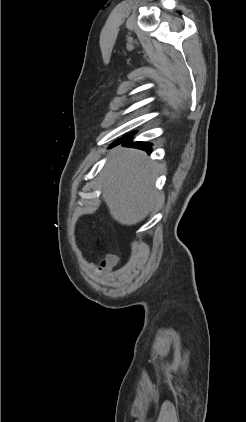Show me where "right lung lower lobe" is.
<instances>
[{
	"instance_id": "obj_1",
	"label": "right lung lower lobe",
	"mask_w": 246,
	"mask_h": 422,
	"mask_svg": "<svg viewBox=\"0 0 246 422\" xmlns=\"http://www.w3.org/2000/svg\"><path fill=\"white\" fill-rule=\"evenodd\" d=\"M120 143H122L124 145L129 144V146H133V147H136L138 149L145 150L148 153H150L152 151L150 143H148V142H133L131 138L125 139V140L120 141V142H115L112 146H115V145L120 144Z\"/></svg>"
}]
</instances>
